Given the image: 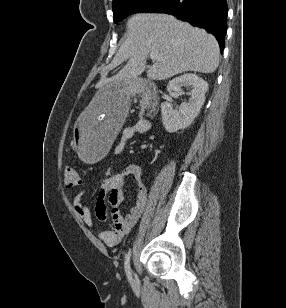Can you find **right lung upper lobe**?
Here are the masks:
<instances>
[{"label":"right lung upper lobe","mask_w":286,"mask_h":308,"mask_svg":"<svg viewBox=\"0 0 286 308\" xmlns=\"http://www.w3.org/2000/svg\"><path fill=\"white\" fill-rule=\"evenodd\" d=\"M118 1H120V0H113V4L117 3Z\"/></svg>","instance_id":"obj_1"}]
</instances>
